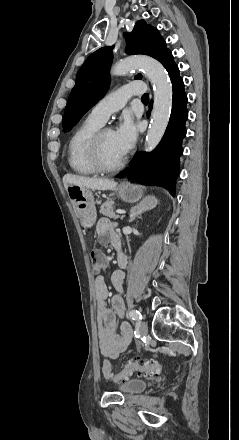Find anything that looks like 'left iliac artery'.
Returning a JSON list of instances; mask_svg holds the SVG:
<instances>
[{
  "label": "left iliac artery",
  "instance_id": "obj_1",
  "mask_svg": "<svg viewBox=\"0 0 239 440\" xmlns=\"http://www.w3.org/2000/svg\"><path fill=\"white\" fill-rule=\"evenodd\" d=\"M130 317L134 320L139 322L142 319V315L138 310H131L129 313Z\"/></svg>",
  "mask_w": 239,
  "mask_h": 440
}]
</instances>
